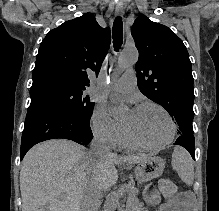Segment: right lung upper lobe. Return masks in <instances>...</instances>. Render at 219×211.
<instances>
[{"instance_id":"cb5924a9","label":"right lung upper lobe","mask_w":219,"mask_h":211,"mask_svg":"<svg viewBox=\"0 0 219 211\" xmlns=\"http://www.w3.org/2000/svg\"><path fill=\"white\" fill-rule=\"evenodd\" d=\"M110 46V29L91 14L64 22L41 42L30 92L61 84L85 89L88 73L98 75Z\"/></svg>"}]
</instances>
